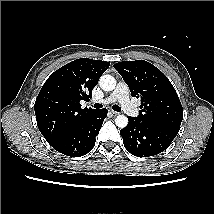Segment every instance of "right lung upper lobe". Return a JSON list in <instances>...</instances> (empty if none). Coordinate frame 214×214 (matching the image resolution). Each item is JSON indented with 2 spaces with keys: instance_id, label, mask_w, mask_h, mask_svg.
I'll list each match as a JSON object with an SVG mask.
<instances>
[{
  "instance_id": "1",
  "label": "right lung upper lobe",
  "mask_w": 214,
  "mask_h": 214,
  "mask_svg": "<svg viewBox=\"0 0 214 214\" xmlns=\"http://www.w3.org/2000/svg\"><path fill=\"white\" fill-rule=\"evenodd\" d=\"M109 62L80 58L56 70L44 83L34 105L41 134L52 145L96 110L81 108L80 101L109 67Z\"/></svg>"
}]
</instances>
